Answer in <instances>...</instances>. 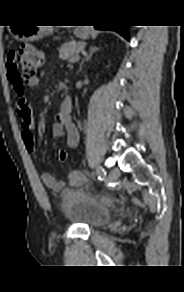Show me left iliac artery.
Returning <instances> with one entry per match:
<instances>
[{
  "label": "left iliac artery",
  "mask_w": 184,
  "mask_h": 292,
  "mask_svg": "<svg viewBox=\"0 0 184 292\" xmlns=\"http://www.w3.org/2000/svg\"><path fill=\"white\" fill-rule=\"evenodd\" d=\"M96 174H97V177L100 181H103L105 176H106V172H105L104 168L101 166L96 167Z\"/></svg>",
  "instance_id": "1"
}]
</instances>
